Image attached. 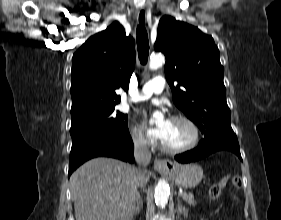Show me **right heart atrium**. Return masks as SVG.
<instances>
[{"label":"right heart atrium","mask_w":281,"mask_h":220,"mask_svg":"<svg viewBox=\"0 0 281 220\" xmlns=\"http://www.w3.org/2000/svg\"><path fill=\"white\" fill-rule=\"evenodd\" d=\"M131 139L135 147L142 150L149 149L153 145L152 140L148 138L137 125L133 126L131 129Z\"/></svg>","instance_id":"d8ad5b80"}]
</instances>
